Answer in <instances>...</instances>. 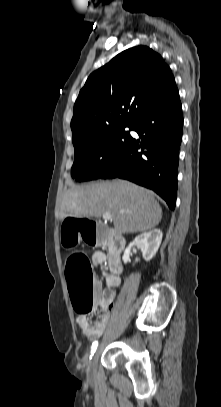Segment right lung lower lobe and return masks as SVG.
Instances as JSON below:
<instances>
[{"label": "right lung lower lobe", "instance_id": "98d812e1", "mask_svg": "<svg viewBox=\"0 0 221 407\" xmlns=\"http://www.w3.org/2000/svg\"><path fill=\"white\" fill-rule=\"evenodd\" d=\"M182 128V106L175 88L133 124L141 141L132 139L122 157L100 178L119 177L152 189L174 210Z\"/></svg>", "mask_w": 221, "mask_h": 407}]
</instances>
